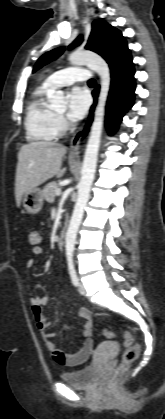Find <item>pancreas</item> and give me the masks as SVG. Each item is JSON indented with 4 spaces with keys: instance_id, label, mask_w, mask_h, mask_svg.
Here are the masks:
<instances>
[{
    "instance_id": "pancreas-1",
    "label": "pancreas",
    "mask_w": 165,
    "mask_h": 419,
    "mask_svg": "<svg viewBox=\"0 0 165 419\" xmlns=\"http://www.w3.org/2000/svg\"><path fill=\"white\" fill-rule=\"evenodd\" d=\"M59 188H60L59 185L54 181L49 182L48 184H46L43 191H42L45 200L48 201V202H53L54 198L56 196L55 190L59 189Z\"/></svg>"
}]
</instances>
